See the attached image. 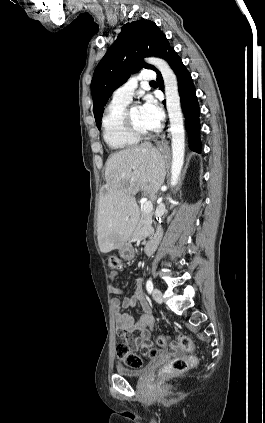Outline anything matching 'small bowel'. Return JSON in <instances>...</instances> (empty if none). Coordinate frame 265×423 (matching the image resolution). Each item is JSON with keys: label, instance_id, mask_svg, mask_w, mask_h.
Here are the masks:
<instances>
[{"label": "small bowel", "instance_id": "small-bowel-1", "mask_svg": "<svg viewBox=\"0 0 265 423\" xmlns=\"http://www.w3.org/2000/svg\"><path fill=\"white\" fill-rule=\"evenodd\" d=\"M117 272L110 274L112 281L115 280ZM110 291L114 294L121 295L123 291L114 283L110 285ZM140 304L142 314L135 319L130 313L124 310L136 304ZM111 306L114 313L117 331L127 337L128 346L131 351H140L143 355H147L152 347V332L155 324V317L145 298L142 282L139 280L132 294L125 296L122 300L113 298Z\"/></svg>", "mask_w": 265, "mask_h": 423}]
</instances>
